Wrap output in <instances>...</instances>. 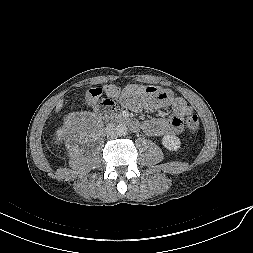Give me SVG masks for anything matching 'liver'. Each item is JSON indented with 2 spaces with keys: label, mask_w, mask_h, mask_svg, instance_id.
<instances>
[{
  "label": "liver",
  "mask_w": 253,
  "mask_h": 253,
  "mask_svg": "<svg viewBox=\"0 0 253 253\" xmlns=\"http://www.w3.org/2000/svg\"><path fill=\"white\" fill-rule=\"evenodd\" d=\"M63 107V100H60L56 105V112H58Z\"/></svg>",
  "instance_id": "obj_1"
}]
</instances>
